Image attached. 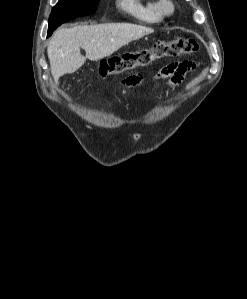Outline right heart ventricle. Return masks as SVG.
<instances>
[{
	"label": "right heart ventricle",
	"mask_w": 247,
	"mask_h": 299,
	"mask_svg": "<svg viewBox=\"0 0 247 299\" xmlns=\"http://www.w3.org/2000/svg\"><path fill=\"white\" fill-rule=\"evenodd\" d=\"M118 7L134 20L144 24L162 21L156 0H117Z\"/></svg>",
	"instance_id": "obj_1"
}]
</instances>
